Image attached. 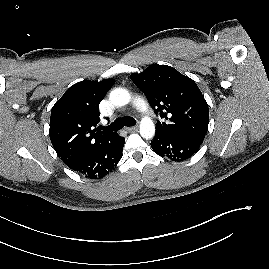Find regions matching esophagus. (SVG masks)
Wrapping results in <instances>:
<instances>
[{"instance_id": "esophagus-1", "label": "esophagus", "mask_w": 269, "mask_h": 269, "mask_svg": "<svg viewBox=\"0 0 269 269\" xmlns=\"http://www.w3.org/2000/svg\"><path fill=\"white\" fill-rule=\"evenodd\" d=\"M128 132H133V131H136L138 129L137 126H131V127H126L125 128Z\"/></svg>"}]
</instances>
